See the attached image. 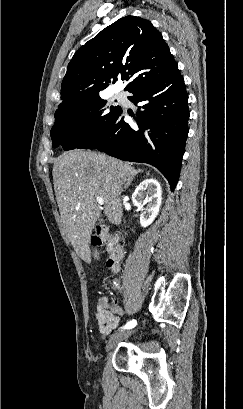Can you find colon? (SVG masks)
<instances>
[{
	"mask_svg": "<svg viewBox=\"0 0 243 409\" xmlns=\"http://www.w3.org/2000/svg\"><path fill=\"white\" fill-rule=\"evenodd\" d=\"M92 243L96 246H104L108 254L106 266L112 271H118L123 258V238L118 234H105L98 230L92 236Z\"/></svg>",
	"mask_w": 243,
	"mask_h": 409,
	"instance_id": "colon-1",
	"label": "colon"
}]
</instances>
